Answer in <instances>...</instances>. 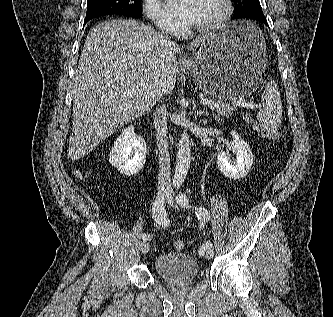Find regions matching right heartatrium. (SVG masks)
I'll list each match as a JSON object with an SVG mask.
<instances>
[{
  "label": "right heart atrium",
  "instance_id": "obj_1",
  "mask_svg": "<svg viewBox=\"0 0 333 317\" xmlns=\"http://www.w3.org/2000/svg\"><path fill=\"white\" fill-rule=\"evenodd\" d=\"M144 11L158 28L172 33L179 31L178 26L163 13L158 0H145Z\"/></svg>",
  "mask_w": 333,
  "mask_h": 317
}]
</instances>
